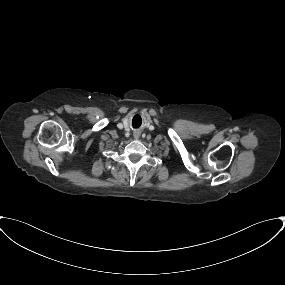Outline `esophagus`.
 I'll return each mask as SVG.
<instances>
[{
	"mask_svg": "<svg viewBox=\"0 0 285 285\" xmlns=\"http://www.w3.org/2000/svg\"><path fill=\"white\" fill-rule=\"evenodd\" d=\"M134 138L137 139V138H138V135L134 134Z\"/></svg>",
	"mask_w": 285,
	"mask_h": 285,
	"instance_id": "34e87169",
	"label": "esophagus"
}]
</instances>
